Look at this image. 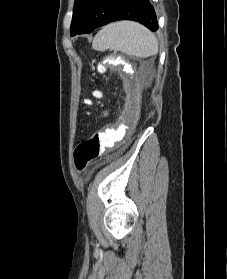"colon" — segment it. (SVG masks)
Returning a JSON list of instances; mask_svg holds the SVG:
<instances>
[{
	"mask_svg": "<svg viewBox=\"0 0 227 279\" xmlns=\"http://www.w3.org/2000/svg\"><path fill=\"white\" fill-rule=\"evenodd\" d=\"M105 60H102L97 65V70L99 72L104 71ZM94 96L97 98L102 97L100 91H95ZM83 103L88 105L91 103L90 99H84ZM116 136L110 128L101 129L82 142H80L74 151V165L77 170L81 171L92 162L93 160L99 158L105 153L107 148L111 147L114 142V137Z\"/></svg>",
	"mask_w": 227,
	"mask_h": 279,
	"instance_id": "colon-1",
	"label": "colon"
}]
</instances>
